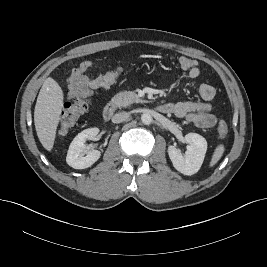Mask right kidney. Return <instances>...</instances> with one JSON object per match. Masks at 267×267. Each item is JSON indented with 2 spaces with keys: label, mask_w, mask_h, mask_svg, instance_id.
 <instances>
[{
  "label": "right kidney",
  "mask_w": 267,
  "mask_h": 267,
  "mask_svg": "<svg viewBox=\"0 0 267 267\" xmlns=\"http://www.w3.org/2000/svg\"><path fill=\"white\" fill-rule=\"evenodd\" d=\"M99 133L98 128H88L79 133L71 142L66 162L74 169H85L93 165L100 158V151L86 150V140H93Z\"/></svg>",
  "instance_id": "1"
}]
</instances>
